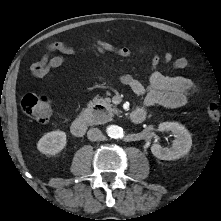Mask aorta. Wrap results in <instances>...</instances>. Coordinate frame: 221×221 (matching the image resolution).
Segmentation results:
<instances>
[{"mask_svg": "<svg viewBox=\"0 0 221 221\" xmlns=\"http://www.w3.org/2000/svg\"><path fill=\"white\" fill-rule=\"evenodd\" d=\"M107 133L110 137L112 138H120L123 134V130L121 127L117 126V125H111L109 127H107Z\"/></svg>", "mask_w": 221, "mask_h": 221, "instance_id": "obj_1", "label": "aorta"}]
</instances>
